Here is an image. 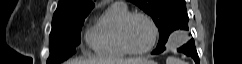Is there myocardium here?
I'll use <instances>...</instances> for the list:
<instances>
[{"label":"myocardium","mask_w":242,"mask_h":64,"mask_svg":"<svg viewBox=\"0 0 242 64\" xmlns=\"http://www.w3.org/2000/svg\"><path fill=\"white\" fill-rule=\"evenodd\" d=\"M134 17L144 18L145 20L148 21V23L150 24L151 29H152V40H151L150 44L146 48L141 49V50L133 49L127 41V36H126L127 27H128L130 20ZM158 35H159L158 27H157L155 21L152 19V17L144 12H139V11L129 12L128 14H126L122 18L120 25H119V30H118V38H119L121 47L127 54H131V55H144V54H147L148 52H150L156 45Z\"/></svg>","instance_id":"myocardium-1"}]
</instances>
